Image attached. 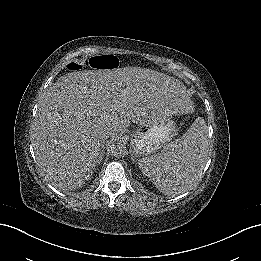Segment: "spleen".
<instances>
[{
    "instance_id": "spleen-1",
    "label": "spleen",
    "mask_w": 261,
    "mask_h": 261,
    "mask_svg": "<svg viewBox=\"0 0 261 261\" xmlns=\"http://www.w3.org/2000/svg\"><path fill=\"white\" fill-rule=\"evenodd\" d=\"M199 149V134L188 132L182 141L170 144L158 154L140 159L139 165L161 192L172 194L179 189L182 179L204 162Z\"/></svg>"
}]
</instances>
